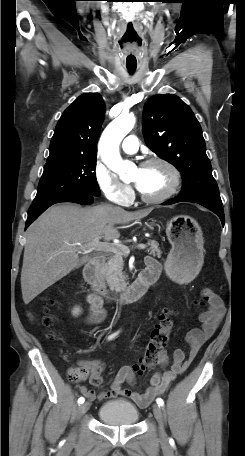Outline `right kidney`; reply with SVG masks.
Listing matches in <instances>:
<instances>
[{
  "label": "right kidney",
  "instance_id": "ca27d5eb",
  "mask_svg": "<svg viewBox=\"0 0 245 456\" xmlns=\"http://www.w3.org/2000/svg\"><path fill=\"white\" fill-rule=\"evenodd\" d=\"M80 312H81V310H80L79 308H75V309L73 310V314H74V315H78Z\"/></svg>",
  "mask_w": 245,
  "mask_h": 456
}]
</instances>
